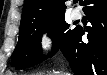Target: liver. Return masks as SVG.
I'll use <instances>...</instances> for the list:
<instances>
[{"label": "liver", "mask_w": 107, "mask_h": 75, "mask_svg": "<svg viewBox=\"0 0 107 75\" xmlns=\"http://www.w3.org/2000/svg\"><path fill=\"white\" fill-rule=\"evenodd\" d=\"M38 75V74H37ZM54 75H62V74H54Z\"/></svg>", "instance_id": "obj_1"}]
</instances>
